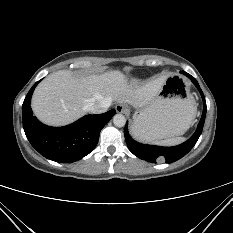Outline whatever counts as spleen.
Segmentation results:
<instances>
[{"mask_svg": "<svg viewBox=\"0 0 233 233\" xmlns=\"http://www.w3.org/2000/svg\"><path fill=\"white\" fill-rule=\"evenodd\" d=\"M131 133L135 138L138 139L133 126L131 127ZM184 140H185L184 137H174V138H169V139H165L162 141H157L155 142V144L163 145V146H173V145H178L182 143Z\"/></svg>", "mask_w": 233, "mask_h": 233, "instance_id": "1", "label": "spleen"}]
</instances>
